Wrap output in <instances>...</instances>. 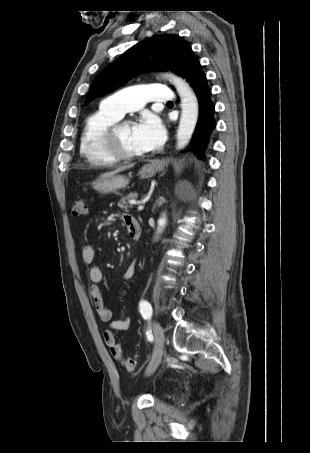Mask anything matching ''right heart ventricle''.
Listing matches in <instances>:
<instances>
[{
	"label": "right heart ventricle",
	"instance_id": "right-heart-ventricle-1",
	"mask_svg": "<svg viewBox=\"0 0 310 453\" xmlns=\"http://www.w3.org/2000/svg\"><path fill=\"white\" fill-rule=\"evenodd\" d=\"M120 118L102 105L87 117L80 139V153L90 166L110 167L119 162L105 150L103 136Z\"/></svg>",
	"mask_w": 310,
	"mask_h": 453
}]
</instances>
